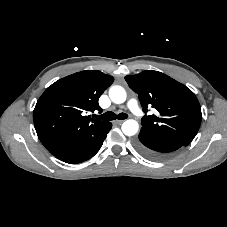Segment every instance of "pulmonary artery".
Wrapping results in <instances>:
<instances>
[{"label":"pulmonary artery","mask_w":227,"mask_h":227,"mask_svg":"<svg viewBox=\"0 0 227 227\" xmlns=\"http://www.w3.org/2000/svg\"><path fill=\"white\" fill-rule=\"evenodd\" d=\"M128 109L136 116H141L142 112L138 106L137 100L134 98H131L127 102Z\"/></svg>","instance_id":"obj_1"}]
</instances>
